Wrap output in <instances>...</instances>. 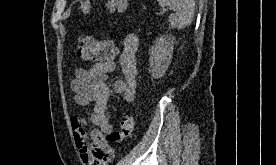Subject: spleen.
I'll return each instance as SVG.
<instances>
[{
    "label": "spleen",
    "instance_id": "obj_1",
    "mask_svg": "<svg viewBox=\"0 0 276 165\" xmlns=\"http://www.w3.org/2000/svg\"><path fill=\"white\" fill-rule=\"evenodd\" d=\"M161 6H169L174 13L170 14L168 21L172 27L183 29L192 23L195 10L194 0H157Z\"/></svg>",
    "mask_w": 276,
    "mask_h": 165
}]
</instances>
